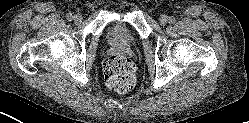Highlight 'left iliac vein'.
Wrapping results in <instances>:
<instances>
[{"label":"left iliac vein","mask_w":249,"mask_h":123,"mask_svg":"<svg viewBox=\"0 0 249 123\" xmlns=\"http://www.w3.org/2000/svg\"><path fill=\"white\" fill-rule=\"evenodd\" d=\"M168 22V16L166 15H161L159 18V23L164 26Z\"/></svg>","instance_id":"4c4485c4"}]
</instances>
